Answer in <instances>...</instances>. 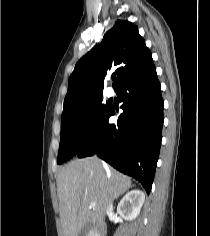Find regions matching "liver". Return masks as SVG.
I'll return each instance as SVG.
<instances>
[{"instance_id":"liver-1","label":"liver","mask_w":210,"mask_h":236,"mask_svg":"<svg viewBox=\"0 0 210 236\" xmlns=\"http://www.w3.org/2000/svg\"><path fill=\"white\" fill-rule=\"evenodd\" d=\"M130 187L129 177L95 156L68 163L57 177L63 236H78L86 224L102 225L108 204Z\"/></svg>"}]
</instances>
